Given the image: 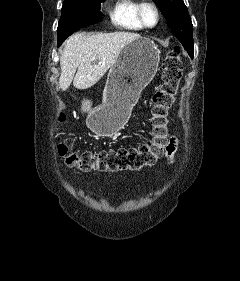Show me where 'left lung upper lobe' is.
<instances>
[{"mask_svg":"<svg viewBox=\"0 0 240 281\" xmlns=\"http://www.w3.org/2000/svg\"><path fill=\"white\" fill-rule=\"evenodd\" d=\"M167 20V25L193 57V26L183 0H153Z\"/></svg>","mask_w":240,"mask_h":281,"instance_id":"1","label":"left lung upper lobe"}]
</instances>
